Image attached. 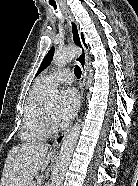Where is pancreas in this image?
<instances>
[{
  "instance_id": "pancreas-1",
  "label": "pancreas",
  "mask_w": 138,
  "mask_h": 186,
  "mask_svg": "<svg viewBox=\"0 0 138 186\" xmlns=\"http://www.w3.org/2000/svg\"><path fill=\"white\" fill-rule=\"evenodd\" d=\"M29 186H37L35 182H32Z\"/></svg>"
}]
</instances>
